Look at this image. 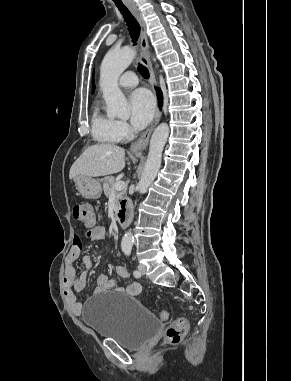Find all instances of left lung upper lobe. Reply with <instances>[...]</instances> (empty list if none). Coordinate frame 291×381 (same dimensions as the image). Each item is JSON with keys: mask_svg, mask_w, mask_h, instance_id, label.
<instances>
[{"mask_svg": "<svg viewBox=\"0 0 291 381\" xmlns=\"http://www.w3.org/2000/svg\"><path fill=\"white\" fill-rule=\"evenodd\" d=\"M94 89H95V87H94V83H93V85H92V92H94Z\"/></svg>", "mask_w": 291, "mask_h": 381, "instance_id": "1", "label": "left lung upper lobe"}]
</instances>
